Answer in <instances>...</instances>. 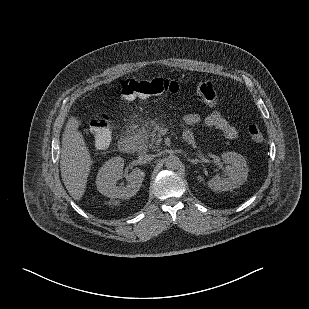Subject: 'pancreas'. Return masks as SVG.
<instances>
[{"label": "pancreas", "instance_id": "pancreas-1", "mask_svg": "<svg viewBox=\"0 0 309 309\" xmlns=\"http://www.w3.org/2000/svg\"><path fill=\"white\" fill-rule=\"evenodd\" d=\"M135 143L139 150H147L148 148L155 150L161 143L160 134L154 130L140 129L134 134Z\"/></svg>", "mask_w": 309, "mask_h": 309}]
</instances>
